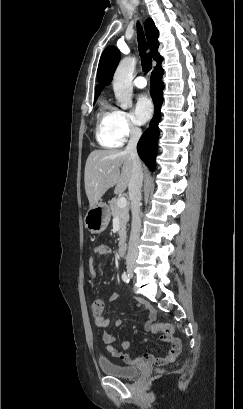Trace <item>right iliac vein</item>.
Masks as SVG:
<instances>
[{"mask_svg":"<svg viewBox=\"0 0 243 409\" xmlns=\"http://www.w3.org/2000/svg\"><path fill=\"white\" fill-rule=\"evenodd\" d=\"M127 271H128V273H129L131 276L134 275V273H133V268H132L131 266L127 267Z\"/></svg>","mask_w":243,"mask_h":409,"instance_id":"obj_1","label":"right iliac vein"}]
</instances>
